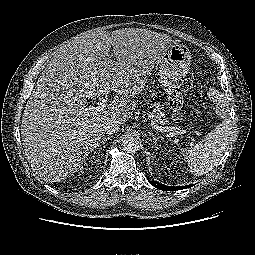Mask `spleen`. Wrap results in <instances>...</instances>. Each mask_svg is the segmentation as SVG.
<instances>
[{
	"instance_id": "obj_1",
	"label": "spleen",
	"mask_w": 255,
	"mask_h": 255,
	"mask_svg": "<svg viewBox=\"0 0 255 255\" xmlns=\"http://www.w3.org/2000/svg\"><path fill=\"white\" fill-rule=\"evenodd\" d=\"M231 134V123L225 119L208 133L203 141L188 149L185 156L190 172L195 176H201L211 171L223 156Z\"/></svg>"
}]
</instances>
